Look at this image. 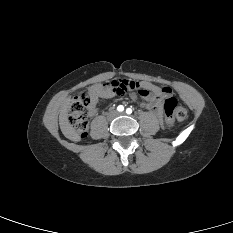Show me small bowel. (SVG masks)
I'll use <instances>...</instances> for the list:
<instances>
[{"label": "small bowel", "instance_id": "c3829d8e", "mask_svg": "<svg viewBox=\"0 0 233 233\" xmlns=\"http://www.w3.org/2000/svg\"><path fill=\"white\" fill-rule=\"evenodd\" d=\"M139 83V90L137 93H132L131 98L133 100H139L141 106L150 110L159 120L163 116V98H167L172 95V90L167 86H159L147 81H137ZM116 93L110 89L104 87L102 84L92 85L88 91L87 96L89 98L88 115L94 117L98 113L97 104L99 99L112 98Z\"/></svg>", "mask_w": 233, "mask_h": 233}]
</instances>
